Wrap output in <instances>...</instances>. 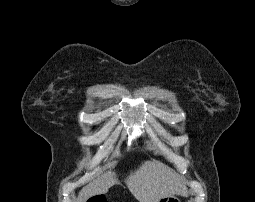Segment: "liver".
Returning <instances> with one entry per match:
<instances>
[{"instance_id": "6515ba94", "label": "liver", "mask_w": 255, "mask_h": 202, "mask_svg": "<svg viewBox=\"0 0 255 202\" xmlns=\"http://www.w3.org/2000/svg\"><path fill=\"white\" fill-rule=\"evenodd\" d=\"M118 183L116 173L108 171L90 182L79 192L77 202H86L88 198L102 195ZM131 194L139 202H158L161 198L186 193V185L170 168L158 162L146 161L125 179Z\"/></svg>"}]
</instances>
